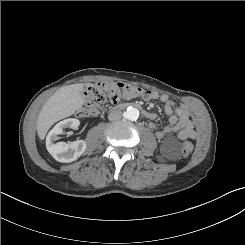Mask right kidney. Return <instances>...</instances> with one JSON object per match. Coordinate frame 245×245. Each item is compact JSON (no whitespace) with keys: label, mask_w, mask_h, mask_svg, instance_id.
I'll return each mask as SVG.
<instances>
[{"label":"right kidney","mask_w":245,"mask_h":245,"mask_svg":"<svg viewBox=\"0 0 245 245\" xmlns=\"http://www.w3.org/2000/svg\"><path fill=\"white\" fill-rule=\"evenodd\" d=\"M80 122L78 119L69 118L57 123L48 133L46 138V148L53 158L62 163H70L77 160L86 150V142L84 140H76L73 142H57L58 135L65 128L77 129Z\"/></svg>","instance_id":"right-kidney-1"}]
</instances>
